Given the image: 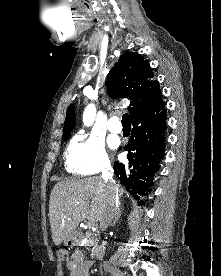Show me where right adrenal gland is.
Wrapping results in <instances>:
<instances>
[{"instance_id":"obj_1","label":"right adrenal gland","mask_w":221,"mask_h":276,"mask_svg":"<svg viewBox=\"0 0 221 276\" xmlns=\"http://www.w3.org/2000/svg\"><path fill=\"white\" fill-rule=\"evenodd\" d=\"M121 213H122V208H121V205L119 206L118 208V213H117V216L115 217L114 221L111 223V227L115 226L116 225V222L119 220V218L121 217Z\"/></svg>"}]
</instances>
